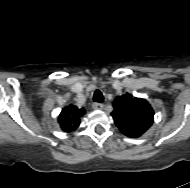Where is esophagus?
I'll return each mask as SVG.
<instances>
[{
    "label": "esophagus",
    "instance_id": "34e87169",
    "mask_svg": "<svg viewBox=\"0 0 190 188\" xmlns=\"http://www.w3.org/2000/svg\"><path fill=\"white\" fill-rule=\"evenodd\" d=\"M103 107H104V105L101 104V103H93L92 104V108L95 109V110H102Z\"/></svg>",
    "mask_w": 190,
    "mask_h": 188
}]
</instances>
